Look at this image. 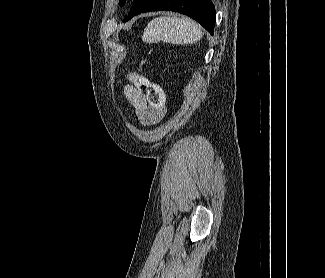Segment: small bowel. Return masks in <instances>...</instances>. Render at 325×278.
Masks as SVG:
<instances>
[{"mask_svg": "<svg viewBox=\"0 0 325 278\" xmlns=\"http://www.w3.org/2000/svg\"><path fill=\"white\" fill-rule=\"evenodd\" d=\"M124 95L134 108L135 114L144 126L157 124L164 115V110L152 108L148 105L140 90L133 85L124 87Z\"/></svg>", "mask_w": 325, "mask_h": 278, "instance_id": "obj_1", "label": "small bowel"}]
</instances>
